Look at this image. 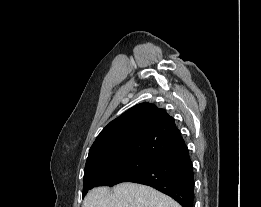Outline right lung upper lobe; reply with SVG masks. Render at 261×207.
<instances>
[{"label": "right lung upper lobe", "instance_id": "obj_1", "mask_svg": "<svg viewBox=\"0 0 261 207\" xmlns=\"http://www.w3.org/2000/svg\"><path fill=\"white\" fill-rule=\"evenodd\" d=\"M185 148L174 119L151 103H140L100 132L89 150L86 166L129 156L160 160Z\"/></svg>", "mask_w": 261, "mask_h": 207}]
</instances>
